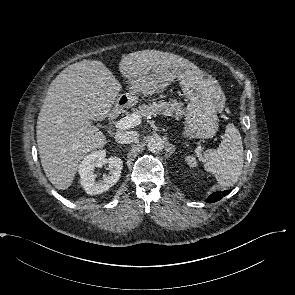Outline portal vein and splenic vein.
<instances>
[{"label": "portal vein and splenic vein", "mask_w": 295, "mask_h": 295, "mask_svg": "<svg viewBox=\"0 0 295 295\" xmlns=\"http://www.w3.org/2000/svg\"><path fill=\"white\" fill-rule=\"evenodd\" d=\"M140 123H141V116L132 114L117 121L115 124V127L116 129H129L139 125Z\"/></svg>", "instance_id": "18ae733b"}]
</instances>
